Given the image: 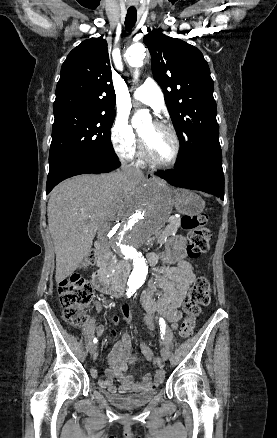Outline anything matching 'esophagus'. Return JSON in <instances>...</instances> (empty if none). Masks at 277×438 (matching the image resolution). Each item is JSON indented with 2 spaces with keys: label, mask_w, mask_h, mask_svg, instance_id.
Segmentation results:
<instances>
[{
  "label": "esophagus",
  "mask_w": 277,
  "mask_h": 438,
  "mask_svg": "<svg viewBox=\"0 0 277 438\" xmlns=\"http://www.w3.org/2000/svg\"><path fill=\"white\" fill-rule=\"evenodd\" d=\"M151 177H152V175H151V174H148V175H147V178H151Z\"/></svg>",
  "instance_id": "1"
}]
</instances>
